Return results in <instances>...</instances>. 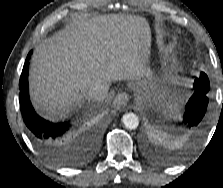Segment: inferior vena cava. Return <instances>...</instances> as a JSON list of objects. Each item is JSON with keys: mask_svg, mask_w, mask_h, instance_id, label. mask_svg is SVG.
<instances>
[{"mask_svg": "<svg viewBox=\"0 0 223 188\" xmlns=\"http://www.w3.org/2000/svg\"><path fill=\"white\" fill-rule=\"evenodd\" d=\"M108 90L109 82L105 79H98L86 90V98L95 102L103 101L108 95Z\"/></svg>", "mask_w": 223, "mask_h": 188, "instance_id": "1", "label": "inferior vena cava"}]
</instances>
